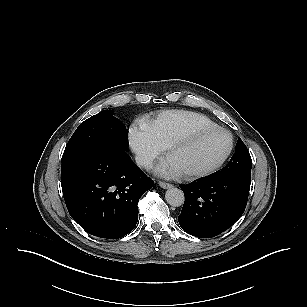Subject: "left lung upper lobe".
Returning <instances> with one entry per match:
<instances>
[{
	"instance_id": "1",
	"label": "left lung upper lobe",
	"mask_w": 307,
	"mask_h": 307,
	"mask_svg": "<svg viewBox=\"0 0 307 307\" xmlns=\"http://www.w3.org/2000/svg\"><path fill=\"white\" fill-rule=\"evenodd\" d=\"M252 160L249 151L239 138L236 144L235 153L229 163L212 176L222 177L228 175H251Z\"/></svg>"
}]
</instances>
